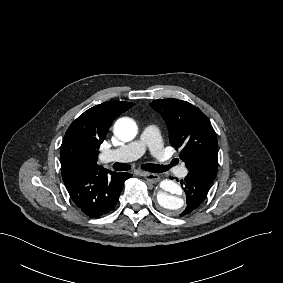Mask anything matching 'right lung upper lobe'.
Instances as JSON below:
<instances>
[{
  "label": "right lung upper lobe",
  "mask_w": 283,
  "mask_h": 283,
  "mask_svg": "<svg viewBox=\"0 0 283 283\" xmlns=\"http://www.w3.org/2000/svg\"><path fill=\"white\" fill-rule=\"evenodd\" d=\"M133 105L125 101H107L85 111L66 131L61 158L78 155L81 159L78 171L102 169L96 163L100 144L106 138L113 120Z\"/></svg>",
  "instance_id": "1"
}]
</instances>
